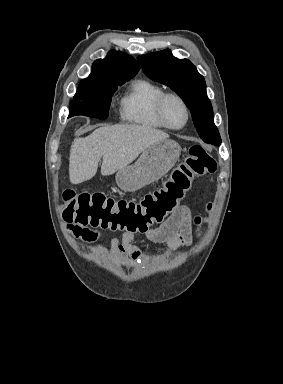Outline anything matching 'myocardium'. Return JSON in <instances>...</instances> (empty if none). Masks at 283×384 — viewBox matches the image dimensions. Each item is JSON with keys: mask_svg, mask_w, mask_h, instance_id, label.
Instances as JSON below:
<instances>
[{"mask_svg": "<svg viewBox=\"0 0 283 384\" xmlns=\"http://www.w3.org/2000/svg\"><path fill=\"white\" fill-rule=\"evenodd\" d=\"M170 98L177 99L181 103V105L185 111V121H184L183 125H181L179 127L171 126L165 118L164 109H165V105H166L167 100ZM154 116H155L156 120L159 122V124L161 126H163L165 129L172 130V131H178V130H181L184 127H186V125L188 124V122L190 120V110H189L188 104L186 103V101L183 99L182 96H180L179 94L174 93V92H165L164 94H162L160 96V98L155 103Z\"/></svg>", "mask_w": 283, "mask_h": 384, "instance_id": "obj_1", "label": "myocardium"}]
</instances>
